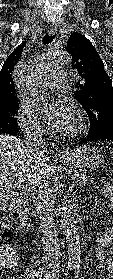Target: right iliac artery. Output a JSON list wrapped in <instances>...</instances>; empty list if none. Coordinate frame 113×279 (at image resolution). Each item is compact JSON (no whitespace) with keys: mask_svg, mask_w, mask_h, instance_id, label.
<instances>
[{"mask_svg":"<svg viewBox=\"0 0 113 279\" xmlns=\"http://www.w3.org/2000/svg\"><path fill=\"white\" fill-rule=\"evenodd\" d=\"M39 276V271H33L32 273H30L29 276H27V279H35Z\"/></svg>","mask_w":113,"mask_h":279,"instance_id":"right-iliac-artery-1","label":"right iliac artery"}]
</instances>
